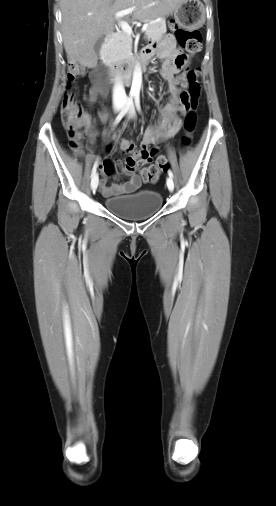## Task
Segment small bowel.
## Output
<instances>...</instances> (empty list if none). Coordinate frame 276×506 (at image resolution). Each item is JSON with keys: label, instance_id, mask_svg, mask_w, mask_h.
Masks as SVG:
<instances>
[{"label": "small bowel", "instance_id": "1", "mask_svg": "<svg viewBox=\"0 0 276 506\" xmlns=\"http://www.w3.org/2000/svg\"><path fill=\"white\" fill-rule=\"evenodd\" d=\"M143 53H145L148 57V62L154 56H157L162 61L161 75L168 83L167 90L172 95H176L178 93V89L175 77L182 67L179 60L184 57V54L176 47L175 38L168 35L160 44L150 45L145 48ZM90 79L92 85L89 93V101L94 103L105 93L106 87L103 79L98 77V71L91 72ZM180 111V109L171 103L162 106L160 108V119L158 124L155 127L147 128L145 131L142 140V149L147 148L159 138H170L174 136L180 128V119L175 118V121H171V117H175L176 113ZM105 117L106 116L103 115L102 119H105ZM85 118L86 126L89 127L91 125V117L88 114H85ZM131 145L134 146V143L131 142ZM153 156L154 155L149 156L147 161L152 159ZM97 167L104 175V177L100 180V189L105 196H114L132 192L140 186L141 181L138 174H136L134 170L127 169L123 166L121 161L114 163L111 158L108 157L103 162L99 164L97 163ZM118 170H121L125 175H127L128 180L123 183H113L111 185H107L106 177H116Z\"/></svg>", "mask_w": 276, "mask_h": 506}]
</instances>
